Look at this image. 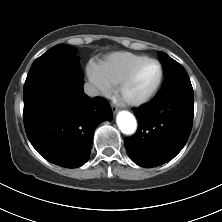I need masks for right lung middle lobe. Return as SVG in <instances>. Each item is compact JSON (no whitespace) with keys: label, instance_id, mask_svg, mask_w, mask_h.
Segmentation results:
<instances>
[{"label":"right lung middle lobe","instance_id":"obj_1","mask_svg":"<svg viewBox=\"0 0 222 222\" xmlns=\"http://www.w3.org/2000/svg\"><path fill=\"white\" fill-rule=\"evenodd\" d=\"M83 74L72 47L59 44L37 58L28 73L24 86V102L49 96L74 98Z\"/></svg>","mask_w":222,"mask_h":222}]
</instances>
